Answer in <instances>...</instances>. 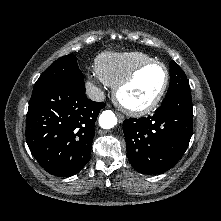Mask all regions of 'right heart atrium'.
Listing matches in <instances>:
<instances>
[{
  "label": "right heart atrium",
  "instance_id": "d8ad5b80",
  "mask_svg": "<svg viewBox=\"0 0 221 221\" xmlns=\"http://www.w3.org/2000/svg\"><path fill=\"white\" fill-rule=\"evenodd\" d=\"M88 86H89L90 88H94V82H93L92 79L89 80Z\"/></svg>",
  "mask_w": 221,
  "mask_h": 221
}]
</instances>
